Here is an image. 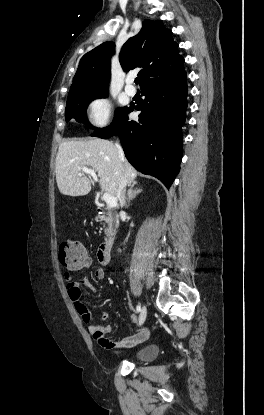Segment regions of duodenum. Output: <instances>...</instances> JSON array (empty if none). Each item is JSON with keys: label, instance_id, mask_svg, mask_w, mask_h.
I'll list each match as a JSON object with an SVG mask.
<instances>
[{"label": "duodenum", "instance_id": "obj_1", "mask_svg": "<svg viewBox=\"0 0 264 415\" xmlns=\"http://www.w3.org/2000/svg\"><path fill=\"white\" fill-rule=\"evenodd\" d=\"M114 244H115L114 239L106 240L101 244L98 250L99 260L105 265H108L111 261V254H112V249L114 247Z\"/></svg>", "mask_w": 264, "mask_h": 415}]
</instances>
